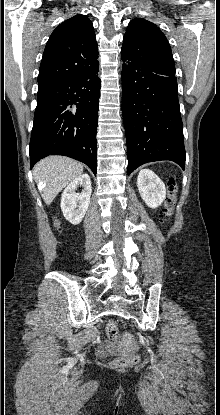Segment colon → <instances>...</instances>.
I'll use <instances>...</instances> for the list:
<instances>
[{"instance_id": "obj_1", "label": "colon", "mask_w": 220, "mask_h": 415, "mask_svg": "<svg viewBox=\"0 0 220 415\" xmlns=\"http://www.w3.org/2000/svg\"><path fill=\"white\" fill-rule=\"evenodd\" d=\"M177 185L173 178L167 181V196L164 203L163 219L167 221L171 216L176 201ZM107 333L111 340L116 341L119 338V330L114 319H110L107 323ZM137 362L136 356L120 357L114 360V366L117 368H126Z\"/></svg>"}]
</instances>
